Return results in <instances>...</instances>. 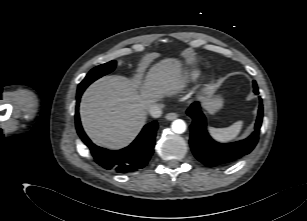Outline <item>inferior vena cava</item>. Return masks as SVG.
Listing matches in <instances>:
<instances>
[{
	"label": "inferior vena cava",
	"mask_w": 307,
	"mask_h": 221,
	"mask_svg": "<svg viewBox=\"0 0 307 221\" xmlns=\"http://www.w3.org/2000/svg\"><path fill=\"white\" fill-rule=\"evenodd\" d=\"M162 104H154L149 107V113L154 118H159L162 115Z\"/></svg>",
	"instance_id": "obj_1"
}]
</instances>
